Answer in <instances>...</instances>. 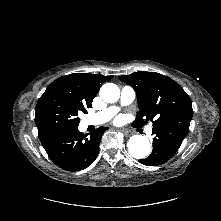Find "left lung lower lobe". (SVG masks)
<instances>
[{"mask_svg":"<svg viewBox=\"0 0 221 221\" xmlns=\"http://www.w3.org/2000/svg\"><path fill=\"white\" fill-rule=\"evenodd\" d=\"M153 151L139 162L146 166H158L167 162L179 149L185 134L165 128H153Z\"/></svg>","mask_w":221,"mask_h":221,"instance_id":"obj_1","label":"left lung lower lobe"}]
</instances>
